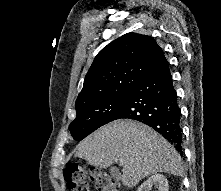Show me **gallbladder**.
Returning <instances> with one entry per match:
<instances>
[{
    "label": "gallbladder",
    "instance_id": "gallbladder-1",
    "mask_svg": "<svg viewBox=\"0 0 221 191\" xmlns=\"http://www.w3.org/2000/svg\"><path fill=\"white\" fill-rule=\"evenodd\" d=\"M110 172L113 176H118V170L116 168H111Z\"/></svg>",
    "mask_w": 221,
    "mask_h": 191
}]
</instances>
